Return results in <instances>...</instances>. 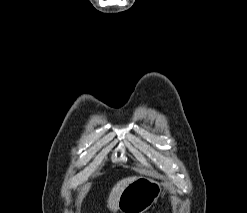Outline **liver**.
<instances>
[{
    "label": "liver",
    "instance_id": "liver-1",
    "mask_svg": "<svg viewBox=\"0 0 247 213\" xmlns=\"http://www.w3.org/2000/svg\"><path fill=\"white\" fill-rule=\"evenodd\" d=\"M135 179H137L135 176L124 178L117 182V184L112 188L107 201V206L110 210L115 211L118 208L117 206L121 193Z\"/></svg>",
    "mask_w": 247,
    "mask_h": 213
}]
</instances>
